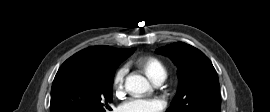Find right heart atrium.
Instances as JSON below:
<instances>
[{
    "label": "right heart atrium",
    "mask_w": 270,
    "mask_h": 112,
    "mask_svg": "<svg viewBox=\"0 0 270 112\" xmlns=\"http://www.w3.org/2000/svg\"><path fill=\"white\" fill-rule=\"evenodd\" d=\"M128 72V67L126 65L120 67L114 74L113 86L116 92H121L124 86V80Z\"/></svg>",
    "instance_id": "d8ad5b80"
}]
</instances>
